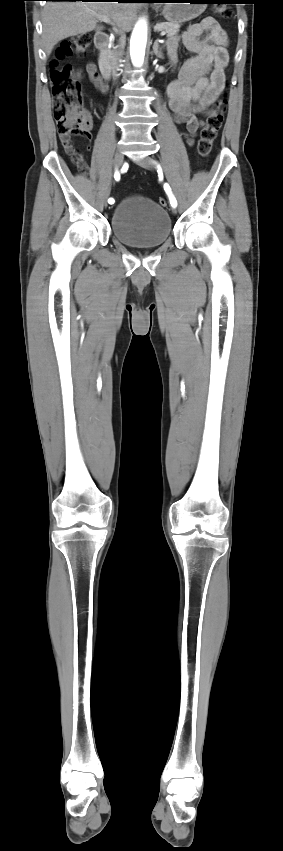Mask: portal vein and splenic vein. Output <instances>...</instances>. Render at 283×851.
I'll return each mask as SVG.
<instances>
[{"label": "portal vein and splenic vein", "instance_id": "1", "mask_svg": "<svg viewBox=\"0 0 283 851\" xmlns=\"http://www.w3.org/2000/svg\"><path fill=\"white\" fill-rule=\"evenodd\" d=\"M95 16L97 17V19H99V20H101V21H103V22H105V23H108V24H110V25H113V22L111 21V19L109 18V16H107V15H100V14H95ZM164 35H166V32H165V31H162V32H161V36H164Z\"/></svg>", "mask_w": 283, "mask_h": 851}]
</instances>
